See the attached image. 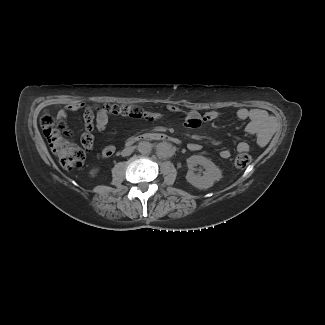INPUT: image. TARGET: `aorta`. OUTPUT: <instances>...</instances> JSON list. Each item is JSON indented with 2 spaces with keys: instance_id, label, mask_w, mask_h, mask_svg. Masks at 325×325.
Masks as SVG:
<instances>
[{
  "instance_id": "obj_1",
  "label": "aorta",
  "mask_w": 325,
  "mask_h": 325,
  "mask_svg": "<svg viewBox=\"0 0 325 325\" xmlns=\"http://www.w3.org/2000/svg\"><path fill=\"white\" fill-rule=\"evenodd\" d=\"M152 150V144L147 141H142L138 144V151L141 154H149Z\"/></svg>"
}]
</instances>
